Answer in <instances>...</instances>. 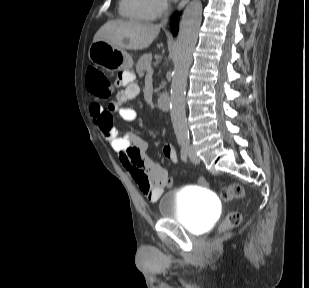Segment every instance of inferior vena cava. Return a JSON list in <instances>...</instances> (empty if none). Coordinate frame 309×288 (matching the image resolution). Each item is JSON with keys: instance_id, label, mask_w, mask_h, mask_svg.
I'll use <instances>...</instances> for the list:
<instances>
[{"instance_id": "inferior-vena-cava-1", "label": "inferior vena cava", "mask_w": 309, "mask_h": 288, "mask_svg": "<svg viewBox=\"0 0 309 288\" xmlns=\"http://www.w3.org/2000/svg\"><path fill=\"white\" fill-rule=\"evenodd\" d=\"M168 17L167 15L164 17V19L162 20V22L159 24V26H163L167 23Z\"/></svg>"}]
</instances>
